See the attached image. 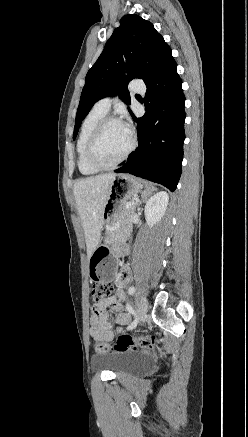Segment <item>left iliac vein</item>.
Returning <instances> with one entry per match:
<instances>
[{
	"label": "left iliac vein",
	"instance_id": "obj_1",
	"mask_svg": "<svg viewBox=\"0 0 248 437\" xmlns=\"http://www.w3.org/2000/svg\"><path fill=\"white\" fill-rule=\"evenodd\" d=\"M148 310V300L145 296H142L139 300L137 306L138 322L142 323L146 319V314Z\"/></svg>",
	"mask_w": 248,
	"mask_h": 437
}]
</instances>
